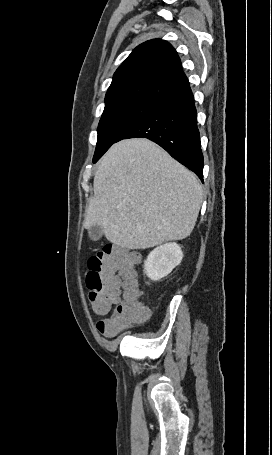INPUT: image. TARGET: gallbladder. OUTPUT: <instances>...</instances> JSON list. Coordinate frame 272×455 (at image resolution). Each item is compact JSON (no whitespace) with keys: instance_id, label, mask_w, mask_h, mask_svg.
Listing matches in <instances>:
<instances>
[{"instance_id":"gallbladder-1","label":"gallbladder","mask_w":272,"mask_h":455,"mask_svg":"<svg viewBox=\"0 0 272 455\" xmlns=\"http://www.w3.org/2000/svg\"><path fill=\"white\" fill-rule=\"evenodd\" d=\"M88 235L92 240H98L103 236V231L100 226L95 225L88 229Z\"/></svg>"}]
</instances>
